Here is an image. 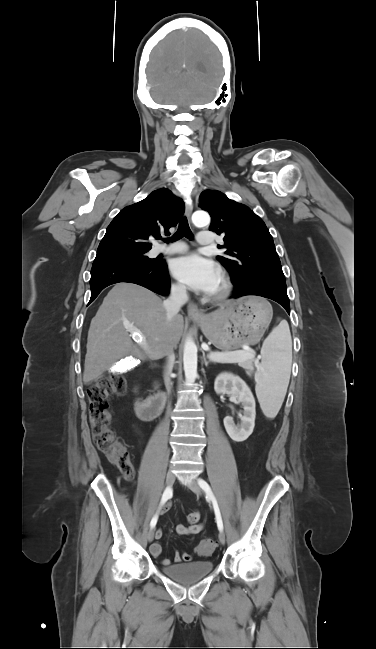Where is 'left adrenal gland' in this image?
Segmentation results:
<instances>
[{"label":"left adrenal gland","instance_id":"a2214340","mask_svg":"<svg viewBox=\"0 0 376 649\" xmlns=\"http://www.w3.org/2000/svg\"><path fill=\"white\" fill-rule=\"evenodd\" d=\"M203 361H204V364H205V366H206V367H207V366H208V364H209V363L211 362V361H207V359H206V356H205V355H203Z\"/></svg>","mask_w":376,"mask_h":649}]
</instances>
